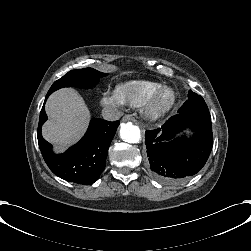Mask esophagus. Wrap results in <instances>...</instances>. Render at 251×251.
Listing matches in <instances>:
<instances>
[{"label": "esophagus", "mask_w": 251, "mask_h": 251, "mask_svg": "<svg viewBox=\"0 0 251 251\" xmlns=\"http://www.w3.org/2000/svg\"><path fill=\"white\" fill-rule=\"evenodd\" d=\"M122 121L123 122H127V121L135 122L136 120L132 115L126 114V115L123 116Z\"/></svg>", "instance_id": "esophagus-1"}]
</instances>
